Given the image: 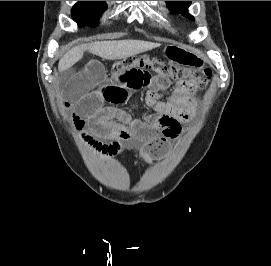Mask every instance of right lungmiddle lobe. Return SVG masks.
Masks as SVG:
<instances>
[{
  "instance_id": "dd1d6c3e",
  "label": "right lung middle lobe",
  "mask_w": 271,
  "mask_h": 266,
  "mask_svg": "<svg viewBox=\"0 0 271 266\" xmlns=\"http://www.w3.org/2000/svg\"><path fill=\"white\" fill-rule=\"evenodd\" d=\"M107 5L104 1H79L72 8V18L78 23L79 27H96V21L106 10Z\"/></svg>"
}]
</instances>
